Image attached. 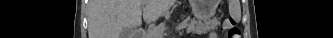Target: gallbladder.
<instances>
[{
  "instance_id": "1",
  "label": "gallbladder",
  "mask_w": 333,
  "mask_h": 38,
  "mask_svg": "<svg viewBox=\"0 0 333 38\" xmlns=\"http://www.w3.org/2000/svg\"><path fill=\"white\" fill-rule=\"evenodd\" d=\"M135 31L133 28H124L120 34V38H133Z\"/></svg>"
}]
</instances>
